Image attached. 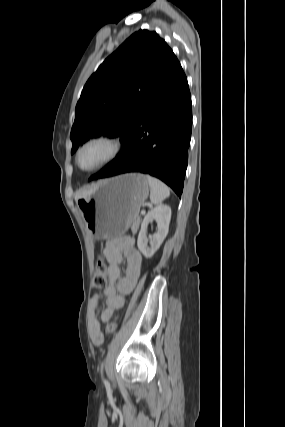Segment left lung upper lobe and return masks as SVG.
Wrapping results in <instances>:
<instances>
[{"instance_id":"5c2ea615","label":"left lung upper lobe","mask_w":285,"mask_h":427,"mask_svg":"<svg viewBox=\"0 0 285 427\" xmlns=\"http://www.w3.org/2000/svg\"><path fill=\"white\" fill-rule=\"evenodd\" d=\"M172 53L156 32L132 34L92 74L75 109L71 153L90 137L118 136L123 143L144 110Z\"/></svg>"}]
</instances>
